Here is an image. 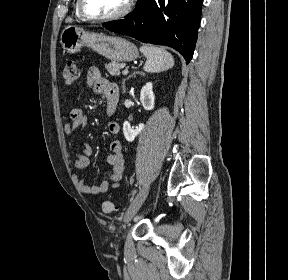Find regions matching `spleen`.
I'll return each mask as SVG.
<instances>
[{"label":"spleen","instance_id":"obj_1","mask_svg":"<svg viewBox=\"0 0 288 280\" xmlns=\"http://www.w3.org/2000/svg\"><path fill=\"white\" fill-rule=\"evenodd\" d=\"M140 51L146 57L144 70L149 73H159L174 66L173 56L161 47L143 45Z\"/></svg>","mask_w":288,"mask_h":280}]
</instances>
